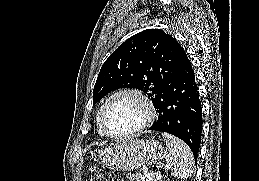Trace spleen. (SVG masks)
I'll list each match as a JSON object with an SVG mask.
<instances>
[{
    "mask_svg": "<svg viewBox=\"0 0 259 181\" xmlns=\"http://www.w3.org/2000/svg\"><path fill=\"white\" fill-rule=\"evenodd\" d=\"M162 137L166 142L165 158L166 168L171 174L177 178H188L193 174V154L190 148L179 138L162 133Z\"/></svg>",
    "mask_w": 259,
    "mask_h": 181,
    "instance_id": "spleen-1",
    "label": "spleen"
}]
</instances>
